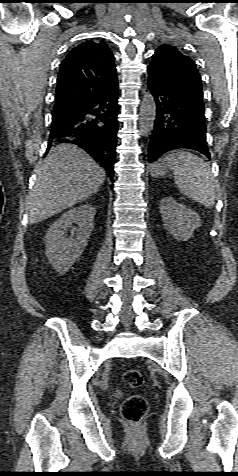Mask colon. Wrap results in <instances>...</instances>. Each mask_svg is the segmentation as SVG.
<instances>
[{
	"label": "colon",
	"mask_w": 238,
	"mask_h": 476,
	"mask_svg": "<svg viewBox=\"0 0 238 476\" xmlns=\"http://www.w3.org/2000/svg\"><path fill=\"white\" fill-rule=\"evenodd\" d=\"M123 381L131 388H138L143 384V375L137 369H128L123 374ZM147 408V401L143 396L131 395L123 402L122 415L129 423L138 424L145 416Z\"/></svg>",
	"instance_id": "5ec220e1"
}]
</instances>
